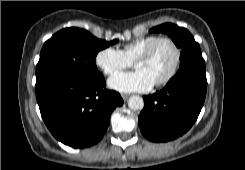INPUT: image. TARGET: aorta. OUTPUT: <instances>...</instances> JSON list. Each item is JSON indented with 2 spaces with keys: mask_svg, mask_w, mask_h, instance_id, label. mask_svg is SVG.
Wrapping results in <instances>:
<instances>
[{
  "mask_svg": "<svg viewBox=\"0 0 245 170\" xmlns=\"http://www.w3.org/2000/svg\"><path fill=\"white\" fill-rule=\"evenodd\" d=\"M128 106L132 110H141L144 107L143 98L140 96H131L128 100Z\"/></svg>",
  "mask_w": 245,
  "mask_h": 170,
  "instance_id": "762f6f07",
  "label": "aorta"
}]
</instances>
